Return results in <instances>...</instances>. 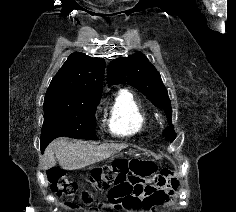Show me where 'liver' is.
<instances>
[{
  "label": "liver",
  "instance_id": "obj_1",
  "mask_svg": "<svg viewBox=\"0 0 236 212\" xmlns=\"http://www.w3.org/2000/svg\"><path fill=\"white\" fill-rule=\"evenodd\" d=\"M125 144L92 145L86 141L70 142L66 138L52 141L43 155L45 169L56 165V161L66 170L81 169L109 158L126 148Z\"/></svg>",
  "mask_w": 236,
  "mask_h": 212
}]
</instances>
